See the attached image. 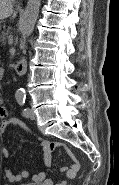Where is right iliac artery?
<instances>
[{"mask_svg":"<svg viewBox=\"0 0 119 185\" xmlns=\"http://www.w3.org/2000/svg\"><path fill=\"white\" fill-rule=\"evenodd\" d=\"M25 97V95L23 93H17L16 94V98H22Z\"/></svg>","mask_w":119,"mask_h":185,"instance_id":"obj_1","label":"right iliac artery"}]
</instances>
